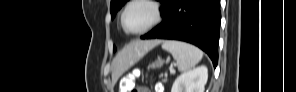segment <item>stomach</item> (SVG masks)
I'll return each mask as SVG.
<instances>
[{"label": "stomach", "mask_w": 296, "mask_h": 92, "mask_svg": "<svg viewBox=\"0 0 296 92\" xmlns=\"http://www.w3.org/2000/svg\"><path fill=\"white\" fill-rule=\"evenodd\" d=\"M163 63H164V61L162 59H158L154 63L149 65L148 68H152V69L159 68V67H161L163 65Z\"/></svg>", "instance_id": "1"}]
</instances>
